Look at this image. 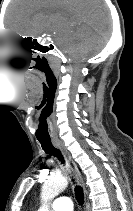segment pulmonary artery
Segmentation results:
<instances>
[{
  "label": "pulmonary artery",
  "mask_w": 133,
  "mask_h": 211,
  "mask_svg": "<svg viewBox=\"0 0 133 211\" xmlns=\"http://www.w3.org/2000/svg\"><path fill=\"white\" fill-rule=\"evenodd\" d=\"M50 211H73V203L69 197L56 198L50 205Z\"/></svg>",
  "instance_id": "obj_1"
}]
</instances>
